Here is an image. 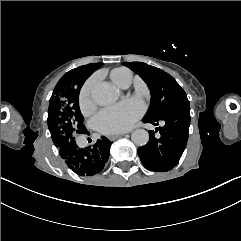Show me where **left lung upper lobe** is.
I'll return each instance as SVG.
<instances>
[{
    "mask_svg": "<svg viewBox=\"0 0 241 241\" xmlns=\"http://www.w3.org/2000/svg\"><path fill=\"white\" fill-rule=\"evenodd\" d=\"M123 65L138 74L151 90L150 107L143 119L161 117L178 105L189 103L185 91L163 70L140 62H125Z\"/></svg>",
    "mask_w": 241,
    "mask_h": 241,
    "instance_id": "1",
    "label": "left lung upper lobe"
}]
</instances>
